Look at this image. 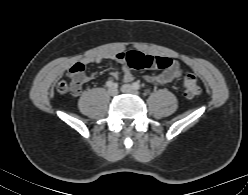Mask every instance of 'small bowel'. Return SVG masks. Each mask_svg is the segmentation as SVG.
Segmentation results:
<instances>
[{
  "label": "small bowel",
  "mask_w": 248,
  "mask_h": 195,
  "mask_svg": "<svg viewBox=\"0 0 248 195\" xmlns=\"http://www.w3.org/2000/svg\"><path fill=\"white\" fill-rule=\"evenodd\" d=\"M124 52H119L113 55H92L85 57L81 60V62L76 63L73 65L69 72H72L75 68L77 67H82L84 69L85 65L91 64V63H98L102 60L109 59V60H115L119 63L125 64L122 58H119L121 55H123ZM182 74V69L177 61H173L172 65L162 71L159 74L152 75V74H147L145 75V80L154 84L158 85H163L169 82H172ZM84 78L83 81L87 82L89 81L93 75L92 74H85L83 73ZM134 79L133 74L131 73L130 69L126 66L123 65L122 67V74H121V80L125 83H130Z\"/></svg>",
  "instance_id": "1"
}]
</instances>
